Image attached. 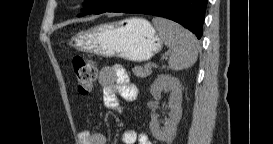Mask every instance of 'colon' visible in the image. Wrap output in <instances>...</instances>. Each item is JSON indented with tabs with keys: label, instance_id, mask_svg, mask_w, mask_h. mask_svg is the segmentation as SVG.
Returning a JSON list of instances; mask_svg holds the SVG:
<instances>
[{
	"label": "colon",
	"instance_id": "5ec220e1",
	"mask_svg": "<svg viewBox=\"0 0 273 144\" xmlns=\"http://www.w3.org/2000/svg\"><path fill=\"white\" fill-rule=\"evenodd\" d=\"M73 70L79 93L81 95L89 94L94 88L97 77L96 64L85 57L76 56L73 59Z\"/></svg>",
	"mask_w": 273,
	"mask_h": 144
}]
</instances>
